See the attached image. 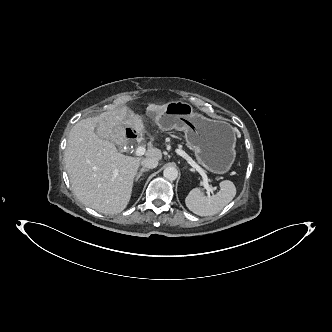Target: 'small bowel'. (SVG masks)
Masks as SVG:
<instances>
[{
    "mask_svg": "<svg viewBox=\"0 0 332 332\" xmlns=\"http://www.w3.org/2000/svg\"><path fill=\"white\" fill-rule=\"evenodd\" d=\"M135 128H136V131L140 134H142L144 132V125L141 121L137 126H135Z\"/></svg>",
    "mask_w": 332,
    "mask_h": 332,
    "instance_id": "obj_1",
    "label": "small bowel"
}]
</instances>
